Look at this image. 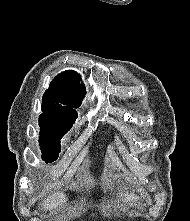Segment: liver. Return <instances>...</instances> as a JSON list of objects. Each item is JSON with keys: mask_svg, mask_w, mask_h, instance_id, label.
Here are the masks:
<instances>
[{"mask_svg": "<svg viewBox=\"0 0 190 221\" xmlns=\"http://www.w3.org/2000/svg\"><path fill=\"white\" fill-rule=\"evenodd\" d=\"M133 198L134 196L132 195L126 196L127 201L132 200ZM66 202H67V198L63 192H54L42 201L41 206L46 211H48V210L58 209L64 206Z\"/></svg>", "mask_w": 190, "mask_h": 221, "instance_id": "6515ba94", "label": "liver"}]
</instances>
